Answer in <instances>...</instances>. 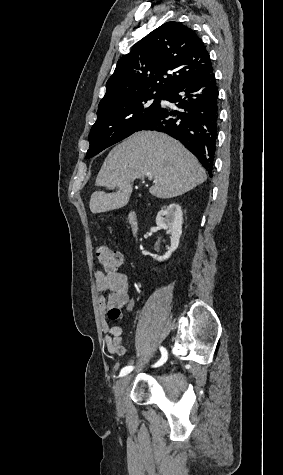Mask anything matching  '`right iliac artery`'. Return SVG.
Masks as SVG:
<instances>
[{
    "label": "right iliac artery",
    "instance_id": "right-iliac-artery-1",
    "mask_svg": "<svg viewBox=\"0 0 283 475\" xmlns=\"http://www.w3.org/2000/svg\"><path fill=\"white\" fill-rule=\"evenodd\" d=\"M160 351H161L162 357L155 365H153V367L161 366L167 360V350L164 347H161ZM132 370H133V366H126L121 370L119 376L120 377L125 376L128 373H130Z\"/></svg>",
    "mask_w": 283,
    "mask_h": 475
}]
</instances>
